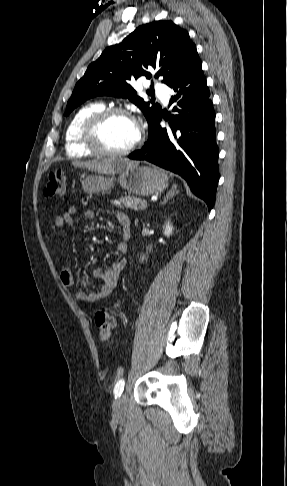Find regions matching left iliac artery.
<instances>
[{
	"mask_svg": "<svg viewBox=\"0 0 287 486\" xmlns=\"http://www.w3.org/2000/svg\"><path fill=\"white\" fill-rule=\"evenodd\" d=\"M124 385H125V381L124 379H120L115 387H114V395H115V398L117 397H120L122 392H123V389H124Z\"/></svg>",
	"mask_w": 287,
	"mask_h": 486,
	"instance_id": "1",
	"label": "left iliac artery"
}]
</instances>
